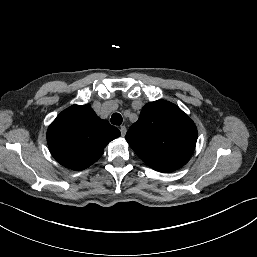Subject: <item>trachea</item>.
<instances>
[{
    "label": "trachea",
    "instance_id": "obj_1",
    "mask_svg": "<svg viewBox=\"0 0 257 257\" xmlns=\"http://www.w3.org/2000/svg\"><path fill=\"white\" fill-rule=\"evenodd\" d=\"M111 123L114 125H121L122 124V116L119 113H114L111 116Z\"/></svg>",
    "mask_w": 257,
    "mask_h": 257
}]
</instances>
